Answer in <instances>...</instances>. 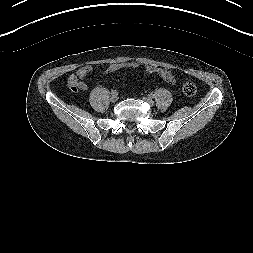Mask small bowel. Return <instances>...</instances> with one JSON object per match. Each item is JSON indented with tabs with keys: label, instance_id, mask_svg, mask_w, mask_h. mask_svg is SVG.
<instances>
[{
	"label": "small bowel",
	"instance_id": "small-bowel-1",
	"mask_svg": "<svg viewBox=\"0 0 253 253\" xmlns=\"http://www.w3.org/2000/svg\"><path fill=\"white\" fill-rule=\"evenodd\" d=\"M123 67H128V68H137L139 67V64L136 62H130V63H113L110 64L106 70L107 73L114 72L120 68ZM145 71L147 73L151 74H157L160 76L162 79L167 81L168 83L174 84L175 83V76L174 74L166 69L158 68V67H153V66H145ZM92 71V66L90 65H85L79 68L76 72V76L78 77V82H77V87L81 91H86L88 86L87 83L84 81V78Z\"/></svg>",
	"mask_w": 253,
	"mask_h": 253
}]
</instances>
